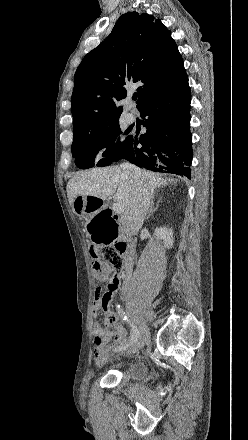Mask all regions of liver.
Returning <instances> with one entry per match:
<instances>
[{
	"label": "liver",
	"mask_w": 248,
	"mask_h": 440,
	"mask_svg": "<svg viewBox=\"0 0 248 440\" xmlns=\"http://www.w3.org/2000/svg\"><path fill=\"white\" fill-rule=\"evenodd\" d=\"M148 189L153 193L157 188L175 184L172 178H163L161 175L141 170ZM136 183L126 175L120 167L111 166L106 168H93L89 171L76 175L67 184V197L70 205H73L77 196H93L105 199L114 195L116 202L121 203L124 210L132 201Z\"/></svg>",
	"instance_id": "1"
}]
</instances>
